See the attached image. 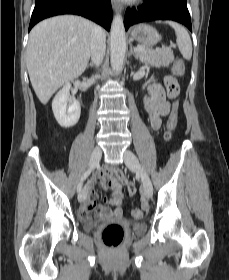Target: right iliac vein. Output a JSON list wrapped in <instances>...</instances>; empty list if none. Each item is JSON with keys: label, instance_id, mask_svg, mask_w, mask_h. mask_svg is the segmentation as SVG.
Instances as JSON below:
<instances>
[{"label": "right iliac vein", "instance_id": "63e3f726", "mask_svg": "<svg viewBox=\"0 0 229 280\" xmlns=\"http://www.w3.org/2000/svg\"><path fill=\"white\" fill-rule=\"evenodd\" d=\"M102 156V152L101 149L97 146L93 149L92 153H91V158H90V162H89V167L90 168H95L97 166V164L99 163V160ZM84 194H85V189L82 190L79 195H78V201L82 202L84 199Z\"/></svg>", "mask_w": 229, "mask_h": 280}]
</instances>
